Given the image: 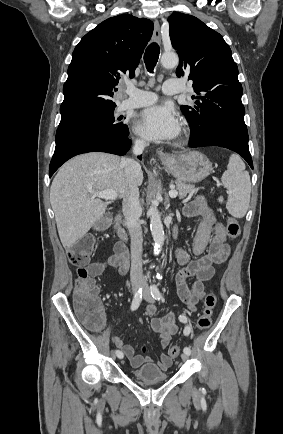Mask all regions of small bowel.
I'll return each mask as SVG.
<instances>
[{"label": "small bowel", "mask_w": 283, "mask_h": 434, "mask_svg": "<svg viewBox=\"0 0 283 434\" xmlns=\"http://www.w3.org/2000/svg\"><path fill=\"white\" fill-rule=\"evenodd\" d=\"M183 213L186 217H199L200 223L193 242V254L199 258L192 260L190 254L183 249H176L175 258L181 269L176 274V288L179 298L194 311L197 304L205 295L204 283L214 275V266L224 263L230 254V246L226 240L224 226L219 222L206 199L199 195L185 205ZM207 253L203 255L204 251ZM108 267H116L121 275L127 273L129 268L128 252L120 243L114 247V254L103 261L95 262L89 267L93 276L100 275ZM189 279H193L191 284ZM155 305L146 308L147 316L151 317V327L159 334L162 348L169 345L171 337L178 330L175 315L168 313L163 317H154ZM114 345L126 356L132 367L139 368L143 364L153 363L149 356H145V348L142 354H136L133 347L124 344L123 340L115 336ZM172 363L169 354H161L157 366L166 371Z\"/></svg>", "instance_id": "1"}]
</instances>
